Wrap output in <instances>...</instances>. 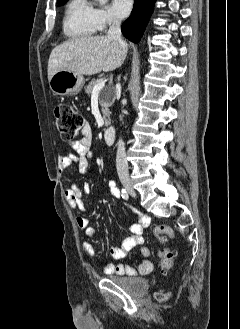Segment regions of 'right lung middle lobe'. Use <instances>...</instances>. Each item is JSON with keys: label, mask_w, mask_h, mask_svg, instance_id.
I'll return each mask as SVG.
<instances>
[{"label": "right lung middle lobe", "mask_w": 240, "mask_h": 329, "mask_svg": "<svg viewBox=\"0 0 240 329\" xmlns=\"http://www.w3.org/2000/svg\"><path fill=\"white\" fill-rule=\"evenodd\" d=\"M67 0H60V1H57L60 3V5H63Z\"/></svg>", "instance_id": "right-lung-middle-lobe-1"}]
</instances>
